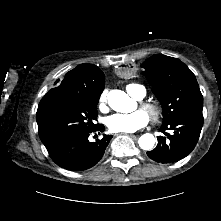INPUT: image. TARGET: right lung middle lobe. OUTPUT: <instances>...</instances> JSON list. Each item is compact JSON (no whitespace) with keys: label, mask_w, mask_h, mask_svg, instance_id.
<instances>
[{"label":"right lung middle lobe","mask_w":221,"mask_h":221,"mask_svg":"<svg viewBox=\"0 0 221 221\" xmlns=\"http://www.w3.org/2000/svg\"><path fill=\"white\" fill-rule=\"evenodd\" d=\"M99 97L47 98L40 102L36 114L38 132L49 153L96 127Z\"/></svg>","instance_id":"obj_1"}]
</instances>
